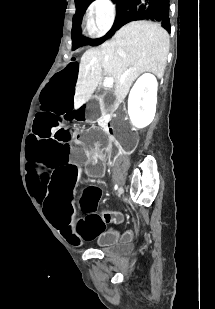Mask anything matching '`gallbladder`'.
<instances>
[{
  "instance_id": "bac80fb5",
  "label": "gallbladder",
  "mask_w": 215,
  "mask_h": 309,
  "mask_svg": "<svg viewBox=\"0 0 215 309\" xmlns=\"http://www.w3.org/2000/svg\"><path fill=\"white\" fill-rule=\"evenodd\" d=\"M102 104L104 110H106V112H110L111 108H113V106L116 104V98L114 94H111V92L104 94Z\"/></svg>"
}]
</instances>
